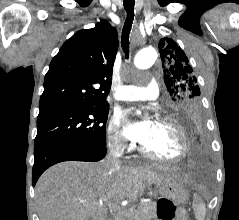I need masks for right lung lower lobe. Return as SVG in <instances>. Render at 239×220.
Masks as SVG:
<instances>
[{
  "instance_id": "98d812e1",
  "label": "right lung lower lobe",
  "mask_w": 239,
  "mask_h": 220,
  "mask_svg": "<svg viewBox=\"0 0 239 220\" xmlns=\"http://www.w3.org/2000/svg\"><path fill=\"white\" fill-rule=\"evenodd\" d=\"M106 154V146L95 148L73 144H51L34 150L33 186L39 176L53 164L67 161H99Z\"/></svg>"
}]
</instances>
